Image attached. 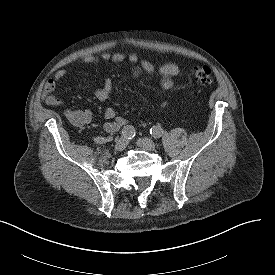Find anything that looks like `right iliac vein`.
Instances as JSON below:
<instances>
[{"label":"right iliac vein","mask_w":275,"mask_h":275,"mask_svg":"<svg viewBox=\"0 0 275 275\" xmlns=\"http://www.w3.org/2000/svg\"><path fill=\"white\" fill-rule=\"evenodd\" d=\"M127 145H128L127 138L126 137H121L120 139H118V141L114 145V149L116 151H122L127 147Z\"/></svg>","instance_id":"1"}]
</instances>
